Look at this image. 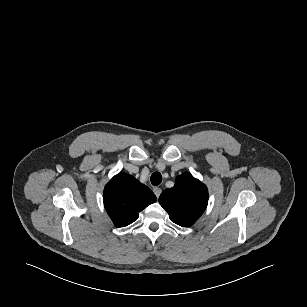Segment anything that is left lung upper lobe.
<instances>
[{
	"instance_id": "obj_1",
	"label": "left lung upper lobe",
	"mask_w": 307,
	"mask_h": 307,
	"mask_svg": "<svg viewBox=\"0 0 307 307\" xmlns=\"http://www.w3.org/2000/svg\"><path fill=\"white\" fill-rule=\"evenodd\" d=\"M160 205L172 222L182 227L191 226L204 212L208 203L206 186L191 174L176 177L175 185L162 192Z\"/></svg>"
}]
</instances>
